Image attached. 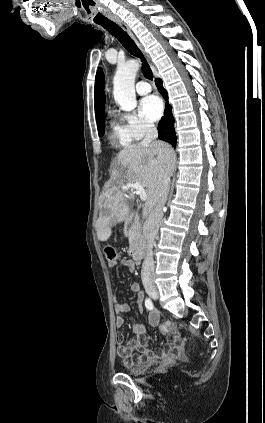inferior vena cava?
<instances>
[{
  "label": "inferior vena cava",
  "mask_w": 265,
  "mask_h": 423,
  "mask_svg": "<svg viewBox=\"0 0 265 423\" xmlns=\"http://www.w3.org/2000/svg\"><path fill=\"white\" fill-rule=\"evenodd\" d=\"M158 138V131L154 124L147 123L145 125V136L144 139L141 141V145L149 146L152 143L157 142L156 139ZM170 170L163 166V180L162 185L160 188V192L158 195V200L153 211L150 213L148 220L145 222L143 226V237L146 242V257L144 259L142 270H141V278L142 280H146L151 278L154 275V260H153V245L155 238L158 233L159 229V222L163 216V207L167 200V196L169 193L170 188Z\"/></svg>",
  "instance_id": "1"
}]
</instances>
